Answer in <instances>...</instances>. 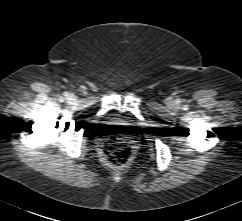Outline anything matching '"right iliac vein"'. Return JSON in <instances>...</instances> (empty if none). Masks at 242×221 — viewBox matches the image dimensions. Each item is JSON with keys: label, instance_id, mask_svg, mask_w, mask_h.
I'll return each instance as SVG.
<instances>
[{"label": "right iliac vein", "instance_id": "obj_1", "mask_svg": "<svg viewBox=\"0 0 242 221\" xmlns=\"http://www.w3.org/2000/svg\"><path fill=\"white\" fill-rule=\"evenodd\" d=\"M70 99H72V100H73V99H74V97H73V96H70Z\"/></svg>", "mask_w": 242, "mask_h": 221}]
</instances>
